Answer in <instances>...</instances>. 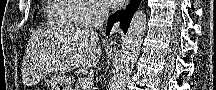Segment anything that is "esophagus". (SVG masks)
I'll return each mask as SVG.
<instances>
[{"label": "esophagus", "instance_id": "esophagus-1", "mask_svg": "<svg viewBox=\"0 0 216 90\" xmlns=\"http://www.w3.org/2000/svg\"><path fill=\"white\" fill-rule=\"evenodd\" d=\"M119 30H120L119 24H115V26L113 27V30H112V36H117Z\"/></svg>", "mask_w": 216, "mask_h": 90}]
</instances>
